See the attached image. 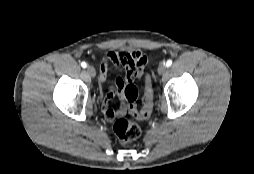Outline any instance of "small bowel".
<instances>
[{"instance_id":"c3829d8e","label":"small bowel","mask_w":254,"mask_h":174,"mask_svg":"<svg viewBox=\"0 0 254 174\" xmlns=\"http://www.w3.org/2000/svg\"><path fill=\"white\" fill-rule=\"evenodd\" d=\"M146 63V55L135 49L122 52H109L104 55L99 72L101 81L107 79L108 71L111 66L121 67L125 70V77L117 76L114 78L113 83L102 101V111L107 119L111 120L117 115L116 110L109 107L110 102L116 97H123L122 88L125 82L137 79L141 75Z\"/></svg>"}]
</instances>
